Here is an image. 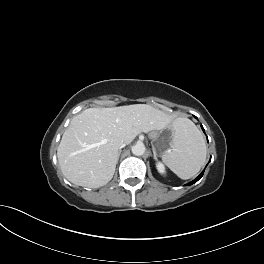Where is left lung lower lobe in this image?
I'll use <instances>...</instances> for the list:
<instances>
[{"mask_svg":"<svg viewBox=\"0 0 264 264\" xmlns=\"http://www.w3.org/2000/svg\"><path fill=\"white\" fill-rule=\"evenodd\" d=\"M202 129H203V127H202ZM203 131H204V129H203ZM203 173L204 172H202L195 180H193L192 182L188 183L187 185H192L193 183L197 182L203 176Z\"/></svg>","mask_w":264,"mask_h":264,"instance_id":"0a47b994","label":"left lung lower lobe"}]
</instances>
